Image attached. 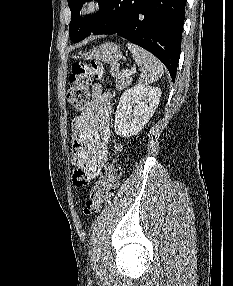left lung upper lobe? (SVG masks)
Returning <instances> with one entry per match:
<instances>
[{
    "mask_svg": "<svg viewBox=\"0 0 233 286\" xmlns=\"http://www.w3.org/2000/svg\"><path fill=\"white\" fill-rule=\"evenodd\" d=\"M86 1L89 0H68V5L71 10L69 36L72 42L77 41L85 33V31L90 26L93 18L95 17V16L85 17L83 19L79 17V10L81 9L83 3ZM105 1L106 0H98L100 9Z\"/></svg>",
    "mask_w": 233,
    "mask_h": 286,
    "instance_id": "1",
    "label": "left lung upper lobe"
}]
</instances>
